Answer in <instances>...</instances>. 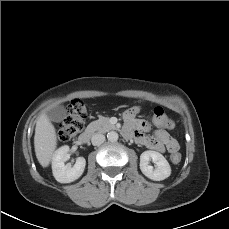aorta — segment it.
<instances>
[{"label":"aorta","instance_id":"aorta-1","mask_svg":"<svg viewBox=\"0 0 229 229\" xmlns=\"http://www.w3.org/2000/svg\"><path fill=\"white\" fill-rule=\"evenodd\" d=\"M107 139L110 142H116L118 140V133L115 131H111L107 134Z\"/></svg>","mask_w":229,"mask_h":229}]
</instances>
